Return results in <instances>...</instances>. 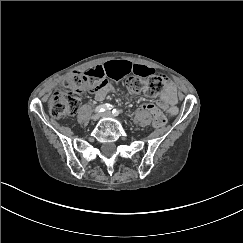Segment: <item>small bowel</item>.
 Here are the masks:
<instances>
[{
	"mask_svg": "<svg viewBox=\"0 0 243 243\" xmlns=\"http://www.w3.org/2000/svg\"><path fill=\"white\" fill-rule=\"evenodd\" d=\"M87 73L90 75L98 76L101 80L99 87L97 90H95V99L97 101H102L105 99L107 94L113 90L112 84L104 80L105 77L118 80L131 73L137 76L147 77L153 76L155 71L154 69L144 65L133 64L129 61L121 60L111 61L105 63L104 65L96 66L91 68ZM164 81L166 83V90L158 98L157 103L160 108L167 112L168 115L175 116L178 113V108L176 106L178 98L172 83L166 78H164Z\"/></svg>",
	"mask_w": 243,
	"mask_h": 243,
	"instance_id": "small-bowel-1",
	"label": "small bowel"
}]
</instances>
